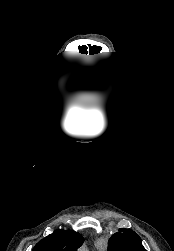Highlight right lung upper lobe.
<instances>
[{"mask_svg":"<svg viewBox=\"0 0 174 251\" xmlns=\"http://www.w3.org/2000/svg\"><path fill=\"white\" fill-rule=\"evenodd\" d=\"M83 237L72 230H56L38 242L32 251H77Z\"/></svg>","mask_w":174,"mask_h":251,"instance_id":"right-lung-upper-lobe-1","label":"right lung upper lobe"}]
</instances>
